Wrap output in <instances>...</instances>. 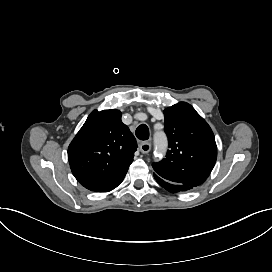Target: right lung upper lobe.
Segmentation results:
<instances>
[{"mask_svg":"<svg viewBox=\"0 0 272 272\" xmlns=\"http://www.w3.org/2000/svg\"><path fill=\"white\" fill-rule=\"evenodd\" d=\"M136 150V139L119 110H94L69 145L68 160L85 188L108 192L123 181Z\"/></svg>","mask_w":272,"mask_h":272,"instance_id":"right-lung-upper-lobe-1","label":"right lung upper lobe"}]
</instances>
